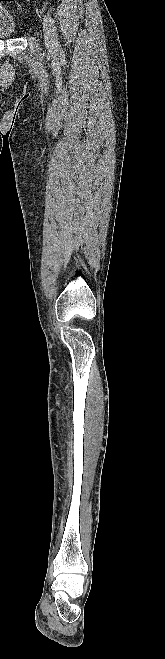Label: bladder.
<instances>
[{"instance_id": "31cf9c89", "label": "bladder", "mask_w": 165, "mask_h": 659, "mask_svg": "<svg viewBox=\"0 0 165 659\" xmlns=\"http://www.w3.org/2000/svg\"><path fill=\"white\" fill-rule=\"evenodd\" d=\"M18 33L17 23L10 11L0 5V39L14 38Z\"/></svg>"}]
</instances>
